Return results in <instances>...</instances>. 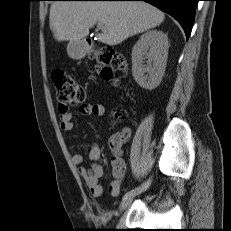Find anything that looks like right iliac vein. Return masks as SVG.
Wrapping results in <instances>:
<instances>
[{
	"label": "right iliac vein",
	"instance_id": "63e3f726",
	"mask_svg": "<svg viewBox=\"0 0 231 231\" xmlns=\"http://www.w3.org/2000/svg\"><path fill=\"white\" fill-rule=\"evenodd\" d=\"M151 182H152V178H149L147 181H145L142 185H140L138 187L137 191L134 194L123 198V200L119 206L120 211L125 210L131 204L134 197H136L139 194H141L142 192L146 191L149 188V186L151 185Z\"/></svg>",
	"mask_w": 231,
	"mask_h": 231
}]
</instances>
